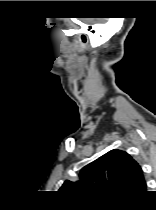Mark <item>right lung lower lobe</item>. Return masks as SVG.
Here are the masks:
<instances>
[{"label": "right lung lower lobe", "mask_w": 156, "mask_h": 210, "mask_svg": "<svg viewBox=\"0 0 156 210\" xmlns=\"http://www.w3.org/2000/svg\"><path fill=\"white\" fill-rule=\"evenodd\" d=\"M144 194H142L141 196H139V197H136V198H134V199H132L131 201H136V200H139L142 196H143Z\"/></svg>", "instance_id": "98d812e1"}]
</instances>
